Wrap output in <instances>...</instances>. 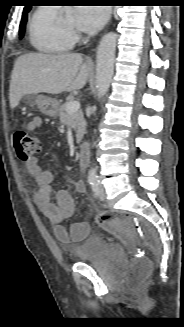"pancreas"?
I'll list each match as a JSON object with an SVG mask.
<instances>
[{"mask_svg": "<svg viewBox=\"0 0 184 327\" xmlns=\"http://www.w3.org/2000/svg\"><path fill=\"white\" fill-rule=\"evenodd\" d=\"M69 102H65L59 108V119L60 122L70 128L74 129L76 132V140L77 143H80L83 135L85 133V120L83 118V113L81 111H77L75 113L67 112V104Z\"/></svg>", "mask_w": 184, "mask_h": 327, "instance_id": "1", "label": "pancreas"}]
</instances>
